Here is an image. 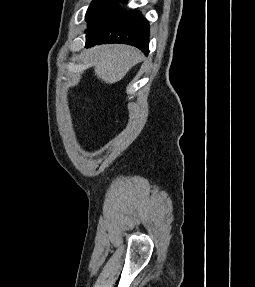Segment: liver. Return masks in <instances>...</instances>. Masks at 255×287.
Instances as JSON below:
<instances>
[{
    "label": "liver",
    "mask_w": 255,
    "mask_h": 287,
    "mask_svg": "<svg viewBox=\"0 0 255 287\" xmlns=\"http://www.w3.org/2000/svg\"><path fill=\"white\" fill-rule=\"evenodd\" d=\"M141 52L131 46H98L92 50H86L85 60L94 62V72L105 84H115L122 80L138 64Z\"/></svg>",
    "instance_id": "obj_1"
}]
</instances>
